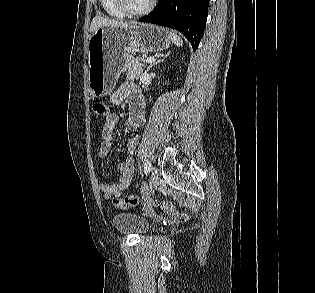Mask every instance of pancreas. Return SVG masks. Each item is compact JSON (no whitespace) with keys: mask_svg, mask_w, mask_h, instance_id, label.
<instances>
[{"mask_svg":"<svg viewBox=\"0 0 315 293\" xmlns=\"http://www.w3.org/2000/svg\"><path fill=\"white\" fill-rule=\"evenodd\" d=\"M125 67L127 78L138 79L146 67V62L141 58L127 57Z\"/></svg>","mask_w":315,"mask_h":293,"instance_id":"1","label":"pancreas"}]
</instances>
